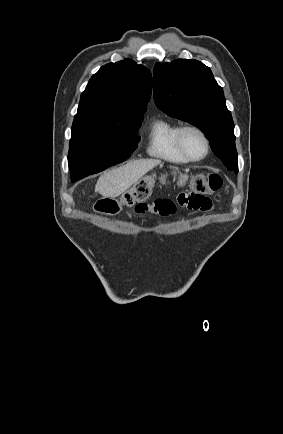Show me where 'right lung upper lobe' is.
I'll list each match as a JSON object with an SVG mask.
<instances>
[{"label": "right lung upper lobe", "mask_w": 283, "mask_h": 434, "mask_svg": "<svg viewBox=\"0 0 283 434\" xmlns=\"http://www.w3.org/2000/svg\"><path fill=\"white\" fill-rule=\"evenodd\" d=\"M149 69L126 59L100 68L81 94L77 123H122L144 118L151 97Z\"/></svg>", "instance_id": "cb5924a9"}]
</instances>
